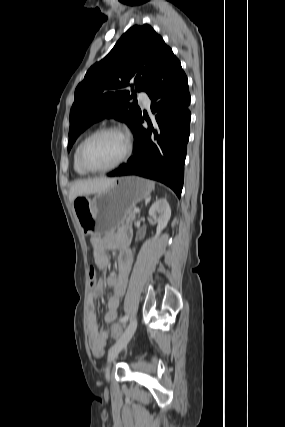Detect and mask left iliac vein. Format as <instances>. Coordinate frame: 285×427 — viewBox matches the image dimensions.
<instances>
[{
    "label": "left iliac vein",
    "mask_w": 285,
    "mask_h": 427,
    "mask_svg": "<svg viewBox=\"0 0 285 427\" xmlns=\"http://www.w3.org/2000/svg\"><path fill=\"white\" fill-rule=\"evenodd\" d=\"M137 327V319L133 318L132 321L128 324L126 330L124 331L123 335L120 337V339L110 348L108 353V363L110 364L116 356L119 354L121 350H123L130 339L132 338L135 330ZM109 367L105 370V376L106 379H109Z\"/></svg>",
    "instance_id": "left-iliac-vein-1"
}]
</instances>
